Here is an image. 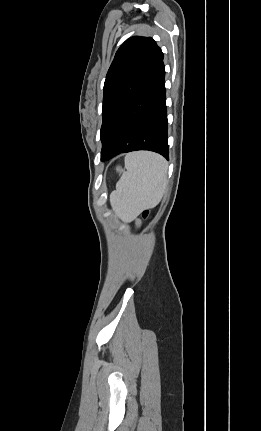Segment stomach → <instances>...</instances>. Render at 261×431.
Returning <instances> with one entry per match:
<instances>
[{"label":"stomach","instance_id":"obj_1","mask_svg":"<svg viewBox=\"0 0 261 431\" xmlns=\"http://www.w3.org/2000/svg\"><path fill=\"white\" fill-rule=\"evenodd\" d=\"M117 171H118V172H121L122 170H121V168H120V167H117Z\"/></svg>","mask_w":261,"mask_h":431}]
</instances>
